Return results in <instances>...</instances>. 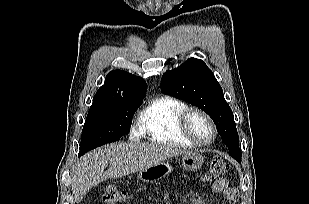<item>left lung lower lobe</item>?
<instances>
[{"label":"left lung lower lobe","instance_id":"obj_1","mask_svg":"<svg viewBox=\"0 0 309 204\" xmlns=\"http://www.w3.org/2000/svg\"><path fill=\"white\" fill-rule=\"evenodd\" d=\"M218 133L221 135V132H220V130H218Z\"/></svg>","mask_w":309,"mask_h":204}]
</instances>
